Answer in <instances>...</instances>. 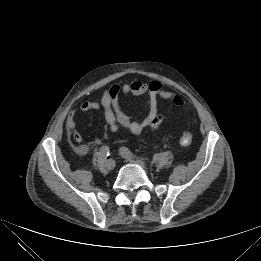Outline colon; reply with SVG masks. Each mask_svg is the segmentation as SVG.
<instances>
[{"instance_id":"obj_1","label":"colon","mask_w":261,"mask_h":261,"mask_svg":"<svg viewBox=\"0 0 261 261\" xmlns=\"http://www.w3.org/2000/svg\"><path fill=\"white\" fill-rule=\"evenodd\" d=\"M172 102H173L175 105H178V106L183 105V103H184V101L182 100V98L179 97V96H174V97L172 98ZM192 140H193L192 133H191L189 130H185V131L182 133L179 142H180V144H181L182 146H189V145L192 143Z\"/></svg>"}]
</instances>
